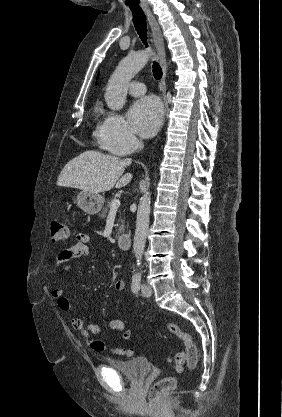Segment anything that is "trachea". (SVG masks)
Here are the masks:
<instances>
[{"instance_id": "3493384b", "label": "trachea", "mask_w": 282, "mask_h": 417, "mask_svg": "<svg viewBox=\"0 0 282 417\" xmlns=\"http://www.w3.org/2000/svg\"><path fill=\"white\" fill-rule=\"evenodd\" d=\"M133 14V23L138 32L140 39L146 45L147 43V23H146V16L142 10H132ZM153 75L156 80H160L162 77V69L158 63H153L152 65Z\"/></svg>"}]
</instances>
